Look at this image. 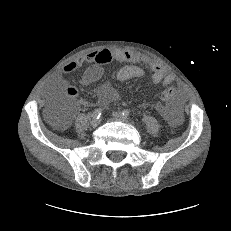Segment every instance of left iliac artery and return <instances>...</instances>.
Returning a JSON list of instances; mask_svg holds the SVG:
<instances>
[{
    "label": "left iliac artery",
    "instance_id": "left-iliac-artery-1",
    "mask_svg": "<svg viewBox=\"0 0 231 231\" xmlns=\"http://www.w3.org/2000/svg\"><path fill=\"white\" fill-rule=\"evenodd\" d=\"M122 115H123V117L127 118L130 115V111L125 109V110H123Z\"/></svg>",
    "mask_w": 231,
    "mask_h": 231
}]
</instances>
